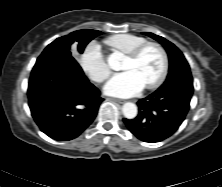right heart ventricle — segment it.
<instances>
[{"label": "right heart ventricle", "instance_id": "1", "mask_svg": "<svg viewBox=\"0 0 222 187\" xmlns=\"http://www.w3.org/2000/svg\"><path fill=\"white\" fill-rule=\"evenodd\" d=\"M146 39L133 34H116L108 37L105 43L113 50L125 55L132 52L135 48L145 43Z\"/></svg>", "mask_w": 222, "mask_h": 187}]
</instances>
